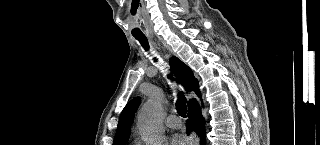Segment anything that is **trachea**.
Returning <instances> with one entry per match:
<instances>
[{"label":"trachea","instance_id":"1","mask_svg":"<svg viewBox=\"0 0 320 145\" xmlns=\"http://www.w3.org/2000/svg\"><path fill=\"white\" fill-rule=\"evenodd\" d=\"M135 38L140 42L142 47L145 49V51L149 50V43L146 37L144 36H135ZM157 61V59H155ZM169 79H172L171 75H168ZM176 108L178 111V114L181 117H186V98L182 92L178 93V99L176 101Z\"/></svg>","mask_w":320,"mask_h":145}]
</instances>
